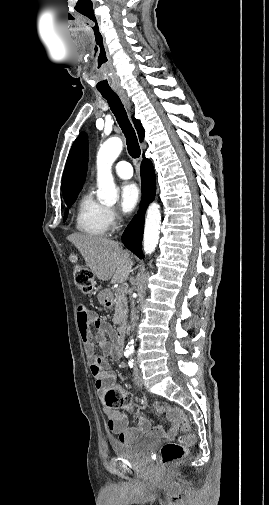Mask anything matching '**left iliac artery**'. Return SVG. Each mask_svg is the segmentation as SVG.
I'll return each mask as SVG.
<instances>
[{"mask_svg": "<svg viewBox=\"0 0 269 505\" xmlns=\"http://www.w3.org/2000/svg\"><path fill=\"white\" fill-rule=\"evenodd\" d=\"M133 361H134V360H133V359H131V360L129 361V363H128L130 368H132V367H133Z\"/></svg>", "mask_w": 269, "mask_h": 505, "instance_id": "left-iliac-artery-1", "label": "left iliac artery"}]
</instances>
